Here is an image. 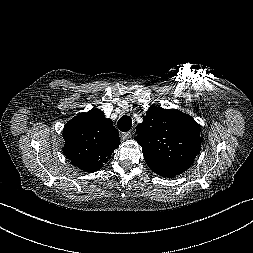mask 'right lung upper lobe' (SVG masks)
I'll use <instances>...</instances> for the list:
<instances>
[{
    "label": "right lung upper lobe",
    "mask_w": 253,
    "mask_h": 253,
    "mask_svg": "<svg viewBox=\"0 0 253 253\" xmlns=\"http://www.w3.org/2000/svg\"><path fill=\"white\" fill-rule=\"evenodd\" d=\"M63 153L85 172L102 168L120 144L119 132L100 109L78 114L64 127Z\"/></svg>",
    "instance_id": "obj_1"
}]
</instances>
